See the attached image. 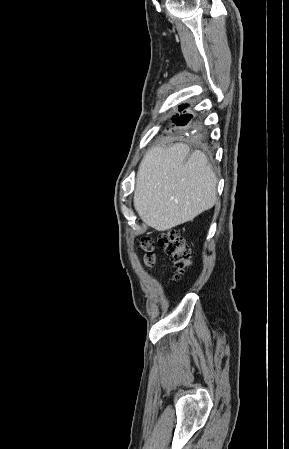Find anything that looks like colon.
<instances>
[{
    "mask_svg": "<svg viewBox=\"0 0 289 449\" xmlns=\"http://www.w3.org/2000/svg\"><path fill=\"white\" fill-rule=\"evenodd\" d=\"M159 244L165 253L173 261L179 274L183 273L185 268L190 265V250L178 231L169 230L159 237ZM143 252V261L146 266L151 267L155 262L154 243L149 237H143L139 243Z\"/></svg>",
    "mask_w": 289,
    "mask_h": 449,
    "instance_id": "colon-1",
    "label": "colon"
}]
</instances>
